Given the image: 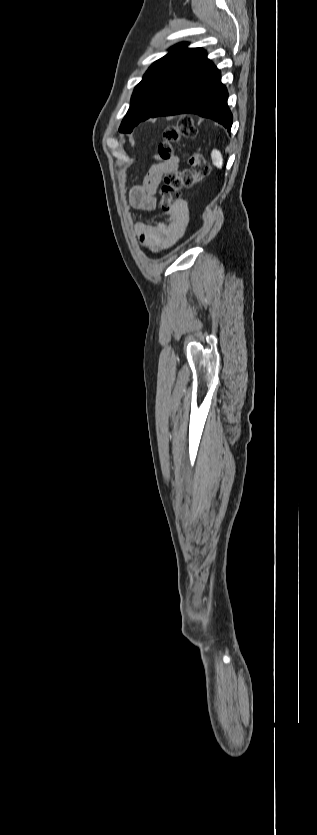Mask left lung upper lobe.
<instances>
[{
    "label": "left lung upper lobe",
    "mask_w": 317,
    "mask_h": 835,
    "mask_svg": "<svg viewBox=\"0 0 317 835\" xmlns=\"http://www.w3.org/2000/svg\"><path fill=\"white\" fill-rule=\"evenodd\" d=\"M186 46L187 43H180L171 47L167 55L149 67L133 91L131 105L121 123L120 132L131 133L141 121L150 118L167 99L184 71L204 51L202 48Z\"/></svg>",
    "instance_id": "left-lung-upper-lobe-1"
}]
</instances>
